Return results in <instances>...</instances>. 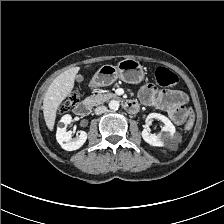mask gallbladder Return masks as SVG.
Listing matches in <instances>:
<instances>
[{
    "mask_svg": "<svg viewBox=\"0 0 224 224\" xmlns=\"http://www.w3.org/2000/svg\"><path fill=\"white\" fill-rule=\"evenodd\" d=\"M75 78L78 83H81L84 80V77L81 74L76 75Z\"/></svg>",
    "mask_w": 224,
    "mask_h": 224,
    "instance_id": "bac80fb5",
    "label": "gallbladder"
}]
</instances>
